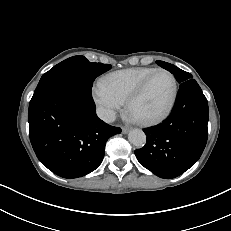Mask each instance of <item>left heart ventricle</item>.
I'll list each match as a JSON object with an SVG mask.
<instances>
[{"mask_svg":"<svg viewBox=\"0 0 231 231\" xmlns=\"http://www.w3.org/2000/svg\"><path fill=\"white\" fill-rule=\"evenodd\" d=\"M173 94V82L165 73L156 74L144 94L132 105L130 114L136 119H148L161 114Z\"/></svg>","mask_w":231,"mask_h":231,"instance_id":"1","label":"left heart ventricle"}]
</instances>
